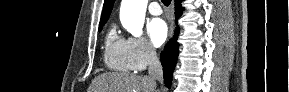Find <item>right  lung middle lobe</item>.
<instances>
[{
	"label": "right lung middle lobe",
	"instance_id": "dd1d6c3e",
	"mask_svg": "<svg viewBox=\"0 0 289 92\" xmlns=\"http://www.w3.org/2000/svg\"><path fill=\"white\" fill-rule=\"evenodd\" d=\"M103 25H104V24L99 25V31L102 30Z\"/></svg>",
	"mask_w": 289,
	"mask_h": 92
}]
</instances>
